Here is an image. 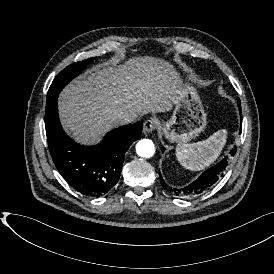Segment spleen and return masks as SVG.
Masks as SVG:
<instances>
[{
	"instance_id": "3e777b00",
	"label": "spleen",
	"mask_w": 274,
	"mask_h": 274,
	"mask_svg": "<svg viewBox=\"0 0 274 274\" xmlns=\"http://www.w3.org/2000/svg\"><path fill=\"white\" fill-rule=\"evenodd\" d=\"M225 134V130H220L206 140L178 145V160L185 168L191 170H199L209 165L218 157L225 143Z\"/></svg>"
}]
</instances>
